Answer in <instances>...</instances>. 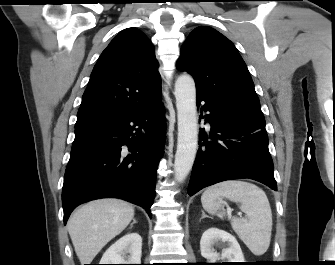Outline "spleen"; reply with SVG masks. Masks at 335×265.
I'll return each instance as SVG.
<instances>
[{
  "mask_svg": "<svg viewBox=\"0 0 335 265\" xmlns=\"http://www.w3.org/2000/svg\"><path fill=\"white\" fill-rule=\"evenodd\" d=\"M223 198L240 204L246 218H232L231 226L254 255H263L269 248L272 231V211L265 192L249 182L228 180L207 188L201 203L210 214L223 216Z\"/></svg>",
  "mask_w": 335,
  "mask_h": 265,
  "instance_id": "1",
  "label": "spleen"
}]
</instances>
